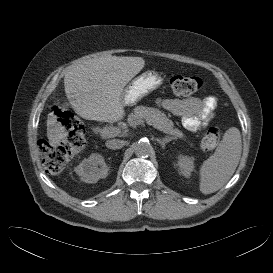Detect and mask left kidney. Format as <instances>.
Segmentation results:
<instances>
[{"instance_id":"obj_1","label":"left kidney","mask_w":273,"mask_h":273,"mask_svg":"<svg viewBox=\"0 0 273 273\" xmlns=\"http://www.w3.org/2000/svg\"><path fill=\"white\" fill-rule=\"evenodd\" d=\"M178 166L180 173L185 177H189L194 170V158L181 155L178 157Z\"/></svg>"}]
</instances>
